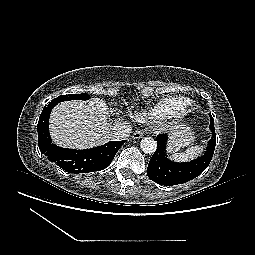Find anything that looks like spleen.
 Wrapping results in <instances>:
<instances>
[{"mask_svg":"<svg viewBox=\"0 0 255 255\" xmlns=\"http://www.w3.org/2000/svg\"><path fill=\"white\" fill-rule=\"evenodd\" d=\"M204 147L197 145L186 149L185 152L174 153L171 155V159L176 162H186L198 157L203 152Z\"/></svg>","mask_w":255,"mask_h":255,"instance_id":"obj_1","label":"spleen"}]
</instances>
